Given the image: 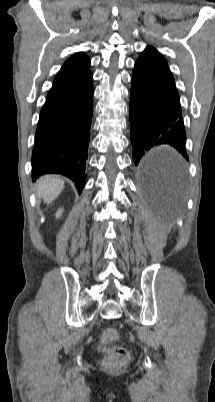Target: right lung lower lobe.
I'll return each mask as SVG.
<instances>
[{
	"mask_svg": "<svg viewBox=\"0 0 215 402\" xmlns=\"http://www.w3.org/2000/svg\"><path fill=\"white\" fill-rule=\"evenodd\" d=\"M92 74L81 84L49 96L40 112L32 153V177L62 174L85 184V166L92 119Z\"/></svg>",
	"mask_w": 215,
	"mask_h": 402,
	"instance_id": "right-lung-lower-lobe-1",
	"label": "right lung lower lobe"
}]
</instances>
